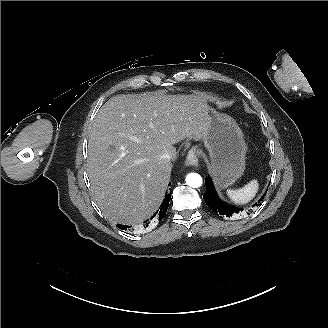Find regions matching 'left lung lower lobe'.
<instances>
[{
  "label": "left lung lower lobe",
  "instance_id": "1",
  "mask_svg": "<svg viewBox=\"0 0 328 328\" xmlns=\"http://www.w3.org/2000/svg\"><path fill=\"white\" fill-rule=\"evenodd\" d=\"M205 184H206V192L204 193L203 196L204 201L206 202L207 206L217 215H222L224 217L225 216L231 217L232 215L241 213L243 211L242 209L224 203L218 198L210 177L205 179ZM264 196L265 195L261 197L260 201L264 198ZM255 205H253L252 207H254Z\"/></svg>",
  "mask_w": 328,
  "mask_h": 328
}]
</instances>
